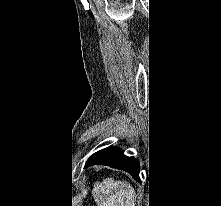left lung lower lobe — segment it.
<instances>
[{
	"label": "left lung lower lobe",
	"mask_w": 221,
	"mask_h": 206,
	"mask_svg": "<svg viewBox=\"0 0 221 206\" xmlns=\"http://www.w3.org/2000/svg\"><path fill=\"white\" fill-rule=\"evenodd\" d=\"M107 165L116 169L129 172L136 180L139 178V162L133 158L123 154V151L118 147H107L93 155H91L85 167L92 165Z\"/></svg>",
	"instance_id": "obj_1"
}]
</instances>
